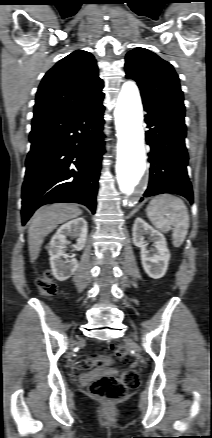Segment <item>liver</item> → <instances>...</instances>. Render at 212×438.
Returning a JSON list of instances; mask_svg holds the SVG:
<instances>
[{
	"label": "liver",
	"instance_id": "liver-1",
	"mask_svg": "<svg viewBox=\"0 0 212 438\" xmlns=\"http://www.w3.org/2000/svg\"><path fill=\"white\" fill-rule=\"evenodd\" d=\"M82 214V210L71 204H51L39 208L28 229V249L33 263L39 256L44 238L62 224Z\"/></svg>",
	"mask_w": 212,
	"mask_h": 438
}]
</instances>
